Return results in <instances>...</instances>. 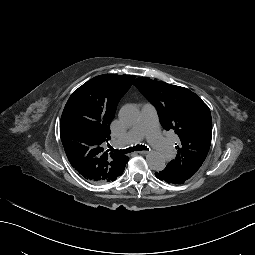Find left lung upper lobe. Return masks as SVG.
Segmentation results:
<instances>
[{"mask_svg": "<svg viewBox=\"0 0 255 255\" xmlns=\"http://www.w3.org/2000/svg\"><path fill=\"white\" fill-rule=\"evenodd\" d=\"M133 84L156 107L163 128L179 136L178 154L166 167L184 183L200 168L211 145L212 119L208 106L184 87L147 77H139Z\"/></svg>", "mask_w": 255, "mask_h": 255, "instance_id": "left-lung-upper-lobe-1", "label": "left lung upper lobe"}]
</instances>
